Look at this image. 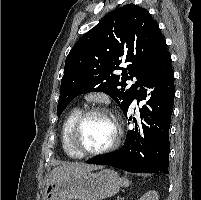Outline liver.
<instances>
[{
    "label": "liver",
    "instance_id": "obj_1",
    "mask_svg": "<svg viewBox=\"0 0 201 200\" xmlns=\"http://www.w3.org/2000/svg\"><path fill=\"white\" fill-rule=\"evenodd\" d=\"M97 166L94 165H86L80 163H70L62 166L55 167L51 174L49 175L46 185H49L53 181L60 179L65 175H70L73 173L83 172V171H91L93 169H97Z\"/></svg>",
    "mask_w": 201,
    "mask_h": 200
}]
</instances>
